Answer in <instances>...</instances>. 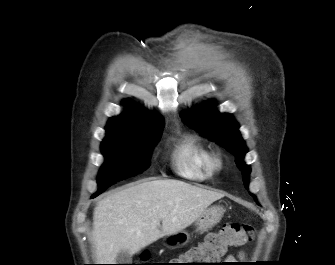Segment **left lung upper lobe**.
<instances>
[{
    "mask_svg": "<svg viewBox=\"0 0 335 265\" xmlns=\"http://www.w3.org/2000/svg\"><path fill=\"white\" fill-rule=\"evenodd\" d=\"M214 105V102H209L185 112L181 115L182 121L209 136L236 157V165L242 172L244 185L248 189L251 168L243 161L248 149L238 131L239 125L230 114L217 112Z\"/></svg>",
    "mask_w": 335,
    "mask_h": 265,
    "instance_id": "left-lung-upper-lobe-1",
    "label": "left lung upper lobe"
}]
</instances>
